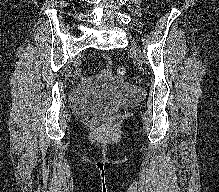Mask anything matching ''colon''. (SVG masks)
I'll use <instances>...</instances> for the list:
<instances>
[{
	"label": "colon",
	"instance_id": "colon-1",
	"mask_svg": "<svg viewBox=\"0 0 219 192\" xmlns=\"http://www.w3.org/2000/svg\"><path fill=\"white\" fill-rule=\"evenodd\" d=\"M78 74H79V72H78ZM115 74H116V76H118V77H124L125 74H126V69H125V67H124V66H118V67L116 68V70H115Z\"/></svg>",
	"mask_w": 219,
	"mask_h": 192
}]
</instances>
